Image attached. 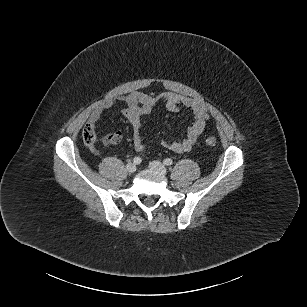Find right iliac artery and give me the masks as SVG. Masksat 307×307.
I'll return each instance as SVG.
<instances>
[{
    "label": "right iliac artery",
    "mask_w": 307,
    "mask_h": 307,
    "mask_svg": "<svg viewBox=\"0 0 307 307\" xmlns=\"http://www.w3.org/2000/svg\"><path fill=\"white\" fill-rule=\"evenodd\" d=\"M142 162V159L140 158V157H135L134 159H133V163L134 164H140Z\"/></svg>",
    "instance_id": "right-iliac-artery-1"
}]
</instances>
